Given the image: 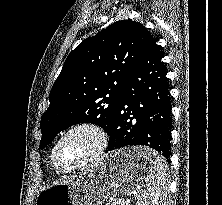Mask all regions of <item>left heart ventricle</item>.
<instances>
[{
	"label": "left heart ventricle",
	"instance_id": "b2bd125f",
	"mask_svg": "<svg viewBox=\"0 0 222 205\" xmlns=\"http://www.w3.org/2000/svg\"><path fill=\"white\" fill-rule=\"evenodd\" d=\"M96 138L88 131H77L69 135L59 145L56 157L65 168L72 167L85 158L95 147Z\"/></svg>",
	"mask_w": 222,
	"mask_h": 205
}]
</instances>
